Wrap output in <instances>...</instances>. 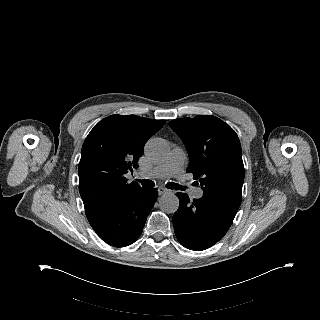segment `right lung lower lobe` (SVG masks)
<instances>
[{"label": "right lung lower lobe", "mask_w": 320, "mask_h": 320, "mask_svg": "<svg viewBox=\"0 0 320 320\" xmlns=\"http://www.w3.org/2000/svg\"><path fill=\"white\" fill-rule=\"evenodd\" d=\"M157 196L156 188H140L127 198L86 216L103 241L111 246L125 247L142 233Z\"/></svg>", "instance_id": "1"}]
</instances>
